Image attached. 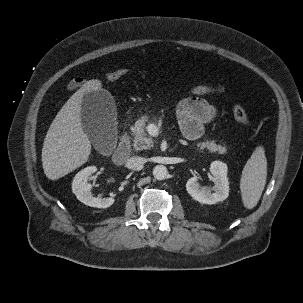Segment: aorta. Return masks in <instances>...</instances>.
<instances>
[{
    "label": "aorta",
    "mask_w": 303,
    "mask_h": 303,
    "mask_svg": "<svg viewBox=\"0 0 303 303\" xmlns=\"http://www.w3.org/2000/svg\"><path fill=\"white\" fill-rule=\"evenodd\" d=\"M153 176L157 180H164L168 176L167 168L164 165H156L153 169Z\"/></svg>",
    "instance_id": "1"
}]
</instances>
